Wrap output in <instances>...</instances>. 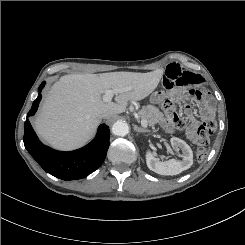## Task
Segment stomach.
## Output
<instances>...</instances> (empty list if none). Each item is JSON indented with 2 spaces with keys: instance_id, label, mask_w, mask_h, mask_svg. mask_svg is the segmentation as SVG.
<instances>
[{
  "instance_id": "stomach-1",
  "label": "stomach",
  "mask_w": 245,
  "mask_h": 245,
  "mask_svg": "<svg viewBox=\"0 0 245 245\" xmlns=\"http://www.w3.org/2000/svg\"><path fill=\"white\" fill-rule=\"evenodd\" d=\"M167 98V94L163 90H157L150 96V102L152 104H161Z\"/></svg>"
}]
</instances>
